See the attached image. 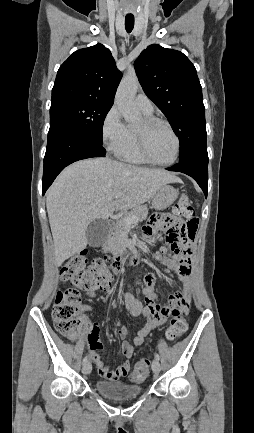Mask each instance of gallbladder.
Listing matches in <instances>:
<instances>
[{"mask_svg": "<svg viewBox=\"0 0 254 433\" xmlns=\"http://www.w3.org/2000/svg\"><path fill=\"white\" fill-rule=\"evenodd\" d=\"M109 225L106 220L95 219L87 227L86 238L89 246L98 247L107 239Z\"/></svg>", "mask_w": 254, "mask_h": 433, "instance_id": "gallbladder-1", "label": "gallbladder"}]
</instances>
